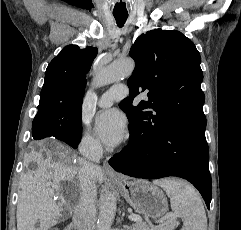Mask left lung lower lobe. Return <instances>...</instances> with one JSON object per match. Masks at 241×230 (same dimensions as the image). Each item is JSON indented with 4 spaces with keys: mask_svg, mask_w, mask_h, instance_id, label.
Listing matches in <instances>:
<instances>
[{
    "mask_svg": "<svg viewBox=\"0 0 241 230\" xmlns=\"http://www.w3.org/2000/svg\"><path fill=\"white\" fill-rule=\"evenodd\" d=\"M129 131L127 147L109 160L116 171L144 179L184 178L199 190L209 209L212 181L205 131L169 127L159 136L150 137L137 123H130Z\"/></svg>",
    "mask_w": 241,
    "mask_h": 230,
    "instance_id": "obj_1",
    "label": "left lung lower lobe"
}]
</instances>
